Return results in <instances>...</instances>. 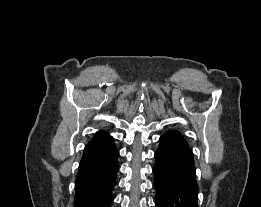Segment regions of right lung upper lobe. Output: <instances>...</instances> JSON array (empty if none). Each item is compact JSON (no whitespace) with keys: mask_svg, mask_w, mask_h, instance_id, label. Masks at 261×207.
<instances>
[{"mask_svg":"<svg viewBox=\"0 0 261 207\" xmlns=\"http://www.w3.org/2000/svg\"><path fill=\"white\" fill-rule=\"evenodd\" d=\"M110 137L109 133L108 132H105V131H99L97 132L94 137L91 139V141H89V143L87 145H91V144H94V143H97L101 140H104L106 138Z\"/></svg>","mask_w":261,"mask_h":207,"instance_id":"right-lung-upper-lobe-1","label":"right lung upper lobe"}]
</instances>
